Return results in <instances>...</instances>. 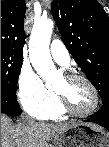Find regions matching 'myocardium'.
Instances as JSON below:
<instances>
[{
	"instance_id": "obj_1",
	"label": "myocardium",
	"mask_w": 109,
	"mask_h": 147,
	"mask_svg": "<svg viewBox=\"0 0 109 147\" xmlns=\"http://www.w3.org/2000/svg\"><path fill=\"white\" fill-rule=\"evenodd\" d=\"M65 79L67 80L68 83H74L76 81H82V82L86 83L93 93L94 103L88 111L80 112L73 107L69 97L66 94L56 91V94L59 99V103H60L61 107L68 114H70L72 116L88 117V116L92 115L98 109L99 103H100L99 92H98L97 88L95 87V85L91 82L90 79H88L86 76L81 75V74H75V73L69 74L65 77Z\"/></svg>"
}]
</instances>
